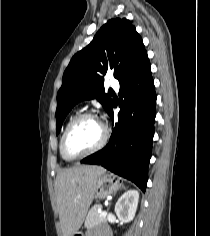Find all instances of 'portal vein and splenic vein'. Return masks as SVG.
Listing matches in <instances>:
<instances>
[{
	"instance_id": "18ae733b",
	"label": "portal vein and splenic vein",
	"mask_w": 210,
	"mask_h": 236,
	"mask_svg": "<svg viewBox=\"0 0 210 236\" xmlns=\"http://www.w3.org/2000/svg\"><path fill=\"white\" fill-rule=\"evenodd\" d=\"M100 212L101 217H106L107 216V211H101V209L98 210Z\"/></svg>"
}]
</instances>
